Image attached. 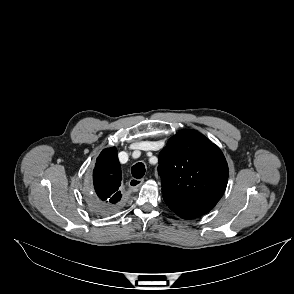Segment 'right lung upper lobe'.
Segmentation results:
<instances>
[{
    "mask_svg": "<svg viewBox=\"0 0 294 294\" xmlns=\"http://www.w3.org/2000/svg\"><path fill=\"white\" fill-rule=\"evenodd\" d=\"M121 179L117 149H104L98 156L93 170L94 195L101 206V214L111 213L120 202Z\"/></svg>",
    "mask_w": 294,
    "mask_h": 294,
    "instance_id": "1",
    "label": "right lung upper lobe"
}]
</instances>
